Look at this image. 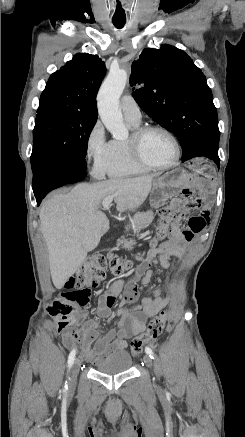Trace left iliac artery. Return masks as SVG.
<instances>
[{"label": "left iliac artery", "instance_id": "obj_1", "mask_svg": "<svg viewBox=\"0 0 245 437\" xmlns=\"http://www.w3.org/2000/svg\"><path fill=\"white\" fill-rule=\"evenodd\" d=\"M145 352L152 358L154 359V352L150 347H145Z\"/></svg>", "mask_w": 245, "mask_h": 437}]
</instances>
